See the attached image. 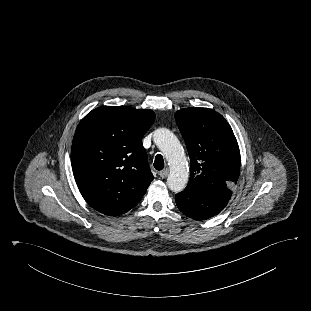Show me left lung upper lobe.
<instances>
[{
    "label": "left lung upper lobe",
    "mask_w": 311,
    "mask_h": 311,
    "mask_svg": "<svg viewBox=\"0 0 311 311\" xmlns=\"http://www.w3.org/2000/svg\"><path fill=\"white\" fill-rule=\"evenodd\" d=\"M190 157L187 187L229 201L240 172V151L234 133L218 112L190 107L175 114Z\"/></svg>",
    "instance_id": "5c2ea615"
}]
</instances>
